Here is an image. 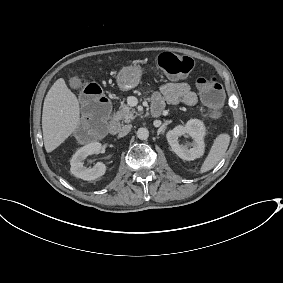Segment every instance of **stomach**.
Instances as JSON below:
<instances>
[{"label":"stomach","instance_id":"stomach-1","mask_svg":"<svg viewBox=\"0 0 283 283\" xmlns=\"http://www.w3.org/2000/svg\"><path fill=\"white\" fill-rule=\"evenodd\" d=\"M144 74V67L134 63L123 66L116 76L117 87L122 91H129L139 85Z\"/></svg>","mask_w":283,"mask_h":283}]
</instances>
